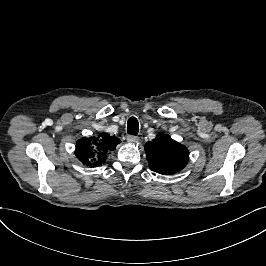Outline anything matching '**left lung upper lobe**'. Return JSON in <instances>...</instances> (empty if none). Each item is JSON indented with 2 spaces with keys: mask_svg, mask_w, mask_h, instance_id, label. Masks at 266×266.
<instances>
[{
  "mask_svg": "<svg viewBox=\"0 0 266 266\" xmlns=\"http://www.w3.org/2000/svg\"><path fill=\"white\" fill-rule=\"evenodd\" d=\"M145 151L150 169L165 175L179 172L189 159L188 149L163 133L146 143Z\"/></svg>",
  "mask_w": 266,
  "mask_h": 266,
  "instance_id": "1",
  "label": "left lung upper lobe"
}]
</instances>
